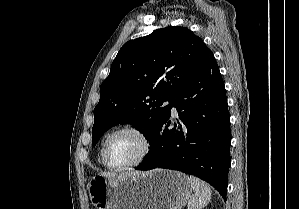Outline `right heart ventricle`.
<instances>
[{"mask_svg": "<svg viewBox=\"0 0 299 209\" xmlns=\"http://www.w3.org/2000/svg\"><path fill=\"white\" fill-rule=\"evenodd\" d=\"M105 141H106V138H105V140L103 141V143H102V145H101V148H100V159H101L102 162H103V160H102L103 146H104V144H105Z\"/></svg>", "mask_w": 299, "mask_h": 209, "instance_id": "right-heart-ventricle-1", "label": "right heart ventricle"}]
</instances>
